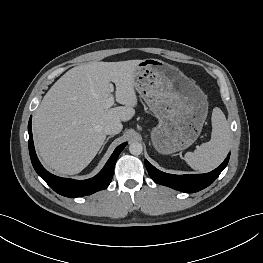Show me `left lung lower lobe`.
Wrapping results in <instances>:
<instances>
[{"instance_id": "left-lung-lower-lobe-1", "label": "left lung lower lobe", "mask_w": 263, "mask_h": 263, "mask_svg": "<svg viewBox=\"0 0 263 263\" xmlns=\"http://www.w3.org/2000/svg\"><path fill=\"white\" fill-rule=\"evenodd\" d=\"M229 157L230 153L219 167L206 174H168L156 169L147 160H145V166L150 177L156 183L171 187L181 192L194 193L209 186L220 175L222 170L227 166Z\"/></svg>"}]
</instances>
